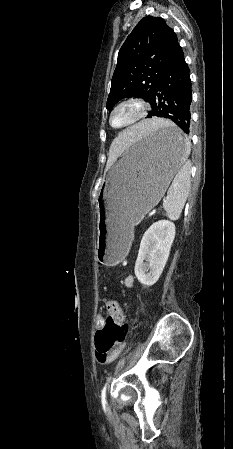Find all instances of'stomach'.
<instances>
[{
  "mask_svg": "<svg viewBox=\"0 0 233 449\" xmlns=\"http://www.w3.org/2000/svg\"><path fill=\"white\" fill-rule=\"evenodd\" d=\"M186 133L169 123L134 143L108 171L98 201L97 259L118 264L131 244L134 227L154 208L186 159Z\"/></svg>",
  "mask_w": 233,
  "mask_h": 449,
  "instance_id": "0dacf381",
  "label": "stomach"
}]
</instances>
